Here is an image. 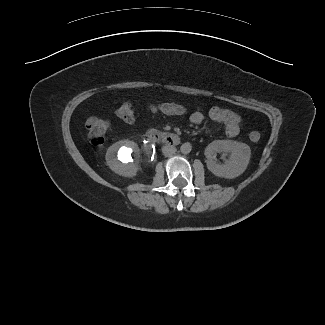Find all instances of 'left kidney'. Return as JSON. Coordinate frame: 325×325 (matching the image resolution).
Returning <instances> with one entry per match:
<instances>
[{
    "label": "left kidney",
    "mask_w": 325,
    "mask_h": 325,
    "mask_svg": "<svg viewBox=\"0 0 325 325\" xmlns=\"http://www.w3.org/2000/svg\"><path fill=\"white\" fill-rule=\"evenodd\" d=\"M227 152L230 157L224 164H218L214 159L216 153ZM250 147L242 142L233 140H216L205 149L208 169L218 177L228 179L240 176L247 168L250 161Z\"/></svg>",
    "instance_id": "1"
}]
</instances>
